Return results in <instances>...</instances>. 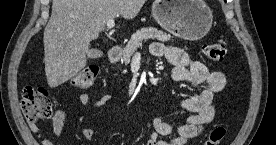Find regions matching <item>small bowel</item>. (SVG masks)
Segmentation results:
<instances>
[{
    "mask_svg": "<svg viewBox=\"0 0 276 145\" xmlns=\"http://www.w3.org/2000/svg\"><path fill=\"white\" fill-rule=\"evenodd\" d=\"M151 54L155 57H165L172 65L171 77L178 83H189L193 87H202L200 93L183 98L178 107L189 113L187 121L176 129L171 125L155 119L150 123L151 136L147 145H185L198 136L204 126L213 120L215 114L214 94L221 91L226 83L223 73L210 71L202 62L190 59L183 50L166 46L161 42L151 45ZM112 100V96L103 95L92 101L88 94L81 93L79 101L89 109L99 108ZM65 115L58 111L52 119L53 132L60 136L65 127ZM31 131L38 136L42 145H52L49 139L43 136L36 124L30 125ZM84 139L92 140L96 131L92 128L81 130ZM162 137L168 138L167 140Z\"/></svg>",
    "mask_w": 276,
    "mask_h": 145,
    "instance_id": "obj_1",
    "label": "small bowel"
}]
</instances>
